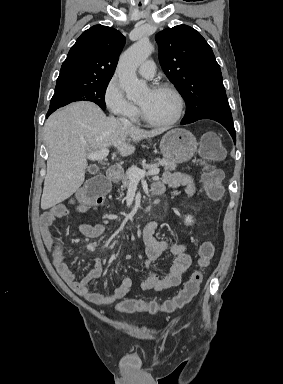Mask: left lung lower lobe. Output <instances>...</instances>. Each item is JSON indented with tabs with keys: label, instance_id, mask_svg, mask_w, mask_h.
<instances>
[{
	"label": "left lung lower lobe",
	"instance_id": "1",
	"mask_svg": "<svg viewBox=\"0 0 283 384\" xmlns=\"http://www.w3.org/2000/svg\"><path fill=\"white\" fill-rule=\"evenodd\" d=\"M200 119H212V120H215V121L221 123L229 131L230 135L232 136V138L234 140V143H236V135H235V129H234V124H233L231 112L230 113L205 114V115H202V116H200L194 120L188 121V122H182L181 121V124L184 125V124L193 123V122L200 120Z\"/></svg>",
	"mask_w": 283,
	"mask_h": 384
}]
</instances>
